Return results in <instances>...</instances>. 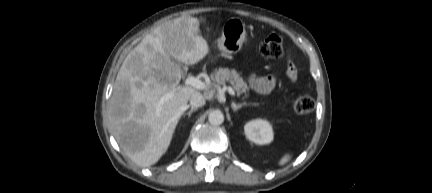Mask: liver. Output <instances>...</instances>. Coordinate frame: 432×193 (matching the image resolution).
Instances as JSON below:
<instances>
[{
    "label": "liver",
    "mask_w": 432,
    "mask_h": 193,
    "mask_svg": "<svg viewBox=\"0 0 432 193\" xmlns=\"http://www.w3.org/2000/svg\"><path fill=\"white\" fill-rule=\"evenodd\" d=\"M199 26L194 17L158 26L130 51L117 74L109 106L113 135L141 167L165 154L188 101L198 92L179 85L182 71L171 59L193 65L208 54Z\"/></svg>",
    "instance_id": "obj_1"
}]
</instances>
